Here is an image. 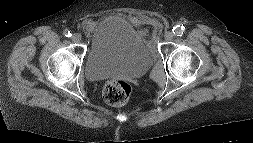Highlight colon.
I'll list each match as a JSON object with an SVG mask.
<instances>
[{"label": "colon", "mask_w": 253, "mask_h": 143, "mask_svg": "<svg viewBox=\"0 0 253 143\" xmlns=\"http://www.w3.org/2000/svg\"><path fill=\"white\" fill-rule=\"evenodd\" d=\"M131 96L132 87L125 81H112L104 88V99L110 105H124L130 100Z\"/></svg>", "instance_id": "obj_1"}]
</instances>
